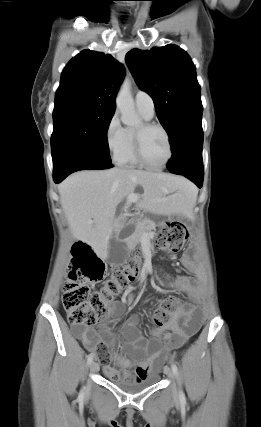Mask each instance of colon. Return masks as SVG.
<instances>
[{"mask_svg": "<svg viewBox=\"0 0 261 427\" xmlns=\"http://www.w3.org/2000/svg\"><path fill=\"white\" fill-rule=\"evenodd\" d=\"M188 238L186 228L177 222L161 227L156 234V245L168 252L182 250ZM139 275V258L134 256L124 265L108 270L106 264L84 243L78 242L72 248V259L68 276L64 282L63 307L68 322L75 326H93L104 320L110 302L129 289ZM104 280L101 289L95 290L92 283ZM180 307V300L170 296L159 301L154 311V321L159 327L165 326L172 313Z\"/></svg>", "mask_w": 261, "mask_h": 427, "instance_id": "1", "label": "colon"}]
</instances>
